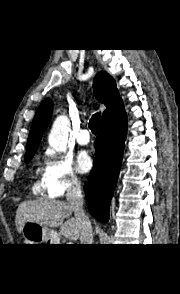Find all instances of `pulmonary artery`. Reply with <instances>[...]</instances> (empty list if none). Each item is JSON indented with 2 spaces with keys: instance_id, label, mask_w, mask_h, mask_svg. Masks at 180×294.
Returning <instances> with one entry per match:
<instances>
[{
  "instance_id": "obj_1",
  "label": "pulmonary artery",
  "mask_w": 180,
  "mask_h": 294,
  "mask_svg": "<svg viewBox=\"0 0 180 294\" xmlns=\"http://www.w3.org/2000/svg\"><path fill=\"white\" fill-rule=\"evenodd\" d=\"M77 142L81 145H86L90 142V134L87 129H83L77 134Z\"/></svg>"
}]
</instances>
